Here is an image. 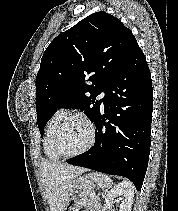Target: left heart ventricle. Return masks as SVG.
Returning <instances> with one entry per match:
<instances>
[{"label": "left heart ventricle", "mask_w": 178, "mask_h": 211, "mask_svg": "<svg viewBox=\"0 0 178 211\" xmlns=\"http://www.w3.org/2000/svg\"><path fill=\"white\" fill-rule=\"evenodd\" d=\"M89 130L87 125L78 119H72L61 130L58 137V147L63 154H73L87 144Z\"/></svg>", "instance_id": "left-heart-ventricle-1"}]
</instances>
